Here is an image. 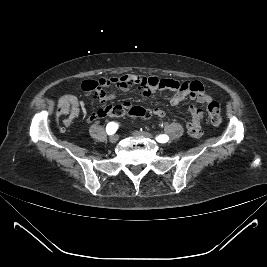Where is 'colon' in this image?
Wrapping results in <instances>:
<instances>
[{
  "label": "colon",
  "mask_w": 267,
  "mask_h": 267,
  "mask_svg": "<svg viewBox=\"0 0 267 267\" xmlns=\"http://www.w3.org/2000/svg\"><path fill=\"white\" fill-rule=\"evenodd\" d=\"M207 114H208V119L213 125H219L222 121V116H221V109L220 105L216 101H210L207 104L206 107ZM127 114L131 117H138V118H148L150 117L151 112L141 106H133L129 107L128 109H122L120 107H115L111 111V115L114 116H121Z\"/></svg>",
  "instance_id": "obj_1"
}]
</instances>
